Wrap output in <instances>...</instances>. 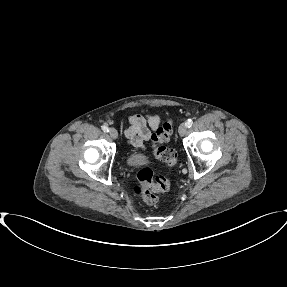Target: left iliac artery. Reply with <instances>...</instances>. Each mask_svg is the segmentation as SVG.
<instances>
[{
	"label": "left iliac artery",
	"instance_id": "left-iliac-artery-1",
	"mask_svg": "<svg viewBox=\"0 0 287 287\" xmlns=\"http://www.w3.org/2000/svg\"><path fill=\"white\" fill-rule=\"evenodd\" d=\"M185 124H186V126H187L188 128H190V127L192 126V124H193L192 119H188Z\"/></svg>",
	"mask_w": 287,
	"mask_h": 287
}]
</instances>
